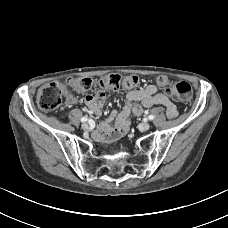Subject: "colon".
<instances>
[{
  "instance_id": "5ec220e1",
  "label": "colon",
  "mask_w": 228,
  "mask_h": 228,
  "mask_svg": "<svg viewBox=\"0 0 228 228\" xmlns=\"http://www.w3.org/2000/svg\"><path fill=\"white\" fill-rule=\"evenodd\" d=\"M161 87H166V93L172 98H176L184 103H188L192 98V88L188 82L181 81L173 85L169 84L166 76H159L156 80ZM138 84L136 76H120L118 74H108L99 79L79 77L68 80L67 84L51 82L42 86L37 93L38 106L46 111L59 108L64 102L71 100L68 87L76 92H87L94 87H100L107 91L125 88L131 90Z\"/></svg>"
}]
</instances>
